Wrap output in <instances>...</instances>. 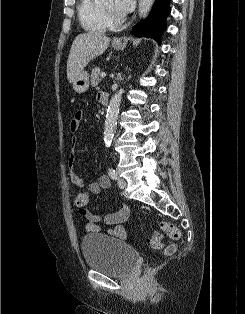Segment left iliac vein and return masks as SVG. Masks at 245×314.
I'll use <instances>...</instances> for the list:
<instances>
[{
  "mask_svg": "<svg viewBox=\"0 0 245 314\" xmlns=\"http://www.w3.org/2000/svg\"><path fill=\"white\" fill-rule=\"evenodd\" d=\"M117 184L120 189H125L127 186V183L123 178H118Z\"/></svg>",
  "mask_w": 245,
  "mask_h": 314,
  "instance_id": "1",
  "label": "left iliac vein"
}]
</instances>
